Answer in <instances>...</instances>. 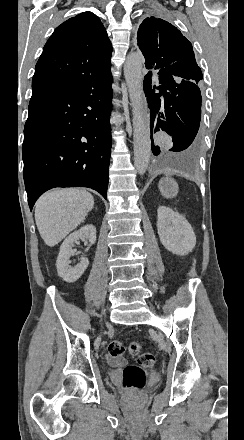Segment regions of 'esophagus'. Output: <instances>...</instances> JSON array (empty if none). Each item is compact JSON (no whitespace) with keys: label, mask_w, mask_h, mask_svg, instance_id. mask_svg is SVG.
Returning <instances> with one entry per match:
<instances>
[{"label":"esophagus","mask_w":244,"mask_h":440,"mask_svg":"<svg viewBox=\"0 0 244 440\" xmlns=\"http://www.w3.org/2000/svg\"><path fill=\"white\" fill-rule=\"evenodd\" d=\"M141 104H142V108H143V111H144L145 121H146V124L148 125L149 117H148V113H147V102H146L145 98L142 99Z\"/></svg>","instance_id":"esophagus-1"}]
</instances>
